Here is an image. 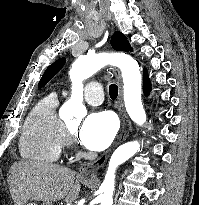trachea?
Masks as SVG:
<instances>
[{"label": "trachea", "instance_id": "trachea-1", "mask_svg": "<svg viewBox=\"0 0 199 205\" xmlns=\"http://www.w3.org/2000/svg\"><path fill=\"white\" fill-rule=\"evenodd\" d=\"M109 94L111 99H116V97L118 96V87L115 84H111L109 86Z\"/></svg>", "mask_w": 199, "mask_h": 205}]
</instances>
